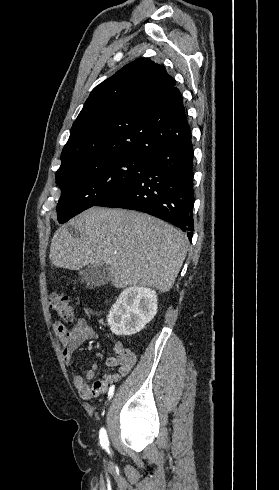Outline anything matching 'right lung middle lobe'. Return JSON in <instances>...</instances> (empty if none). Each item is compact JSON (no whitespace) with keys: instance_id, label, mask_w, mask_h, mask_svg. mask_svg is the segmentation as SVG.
<instances>
[{"instance_id":"right-lung-middle-lobe-1","label":"right lung middle lobe","mask_w":279,"mask_h":490,"mask_svg":"<svg viewBox=\"0 0 279 490\" xmlns=\"http://www.w3.org/2000/svg\"><path fill=\"white\" fill-rule=\"evenodd\" d=\"M149 165L150 160L131 156L98 158L56 175L61 189L58 222L65 223L94 206L106 195L140 177Z\"/></svg>"}]
</instances>
